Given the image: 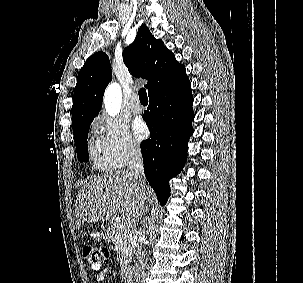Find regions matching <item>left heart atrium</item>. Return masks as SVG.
Segmentation results:
<instances>
[{"instance_id": "obj_1", "label": "left heart atrium", "mask_w": 303, "mask_h": 283, "mask_svg": "<svg viewBox=\"0 0 303 283\" xmlns=\"http://www.w3.org/2000/svg\"><path fill=\"white\" fill-rule=\"evenodd\" d=\"M133 132L138 139H143L147 135V126L141 118L135 119L133 123Z\"/></svg>"}]
</instances>
